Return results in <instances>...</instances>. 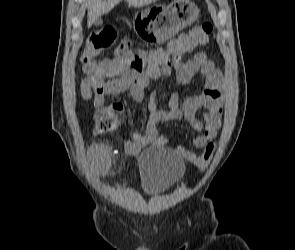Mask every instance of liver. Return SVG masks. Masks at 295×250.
Returning <instances> with one entry per match:
<instances>
[{
    "mask_svg": "<svg viewBox=\"0 0 295 250\" xmlns=\"http://www.w3.org/2000/svg\"><path fill=\"white\" fill-rule=\"evenodd\" d=\"M130 6L142 7L156 0H126ZM121 0H93L88 6L87 25L90 27L95 20L109 13Z\"/></svg>",
    "mask_w": 295,
    "mask_h": 250,
    "instance_id": "liver-1",
    "label": "liver"
}]
</instances>
